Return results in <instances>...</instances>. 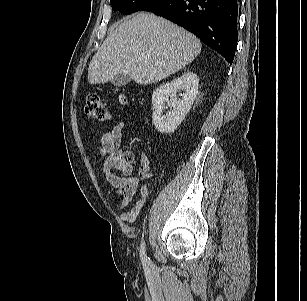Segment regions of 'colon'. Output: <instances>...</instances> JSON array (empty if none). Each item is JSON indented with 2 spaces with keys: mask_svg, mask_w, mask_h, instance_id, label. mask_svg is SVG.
<instances>
[{
  "mask_svg": "<svg viewBox=\"0 0 307 301\" xmlns=\"http://www.w3.org/2000/svg\"><path fill=\"white\" fill-rule=\"evenodd\" d=\"M118 100L120 103L125 104L128 102V96L125 94H120ZM85 112L89 117L101 122H106L110 119V113L106 104L99 95L94 93H89L86 96ZM124 159L126 161H132L134 159V155L132 153H126L124 155Z\"/></svg>",
  "mask_w": 307,
  "mask_h": 301,
  "instance_id": "1",
  "label": "colon"
}]
</instances>
